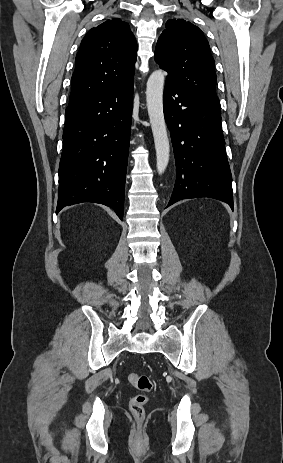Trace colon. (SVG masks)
<instances>
[{
  "mask_svg": "<svg viewBox=\"0 0 283 463\" xmlns=\"http://www.w3.org/2000/svg\"><path fill=\"white\" fill-rule=\"evenodd\" d=\"M128 381L139 393L136 394L129 402V409L133 417L138 421H143L145 417V406L150 400L154 385L151 378L147 375L130 373Z\"/></svg>",
  "mask_w": 283,
  "mask_h": 463,
  "instance_id": "colon-1",
  "label": "colon"
}]
</instances>
